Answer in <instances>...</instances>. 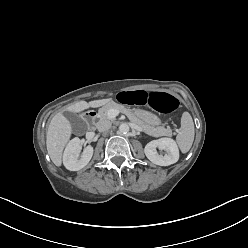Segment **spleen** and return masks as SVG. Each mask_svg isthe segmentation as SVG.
<instances>
[{
	"instance_id": "obj_1",
	"label": "spleen",
	"mask_w": 248,
	"mask_h": 248,
	"mask_svg": "<svg viewBox=\"0 0 248 248\" xmlns=\"http://www.w3.org/2000/svg\"><path fill=\"white\" fill-rule=\"evenodd\" d=\"M194 123L191 115L184 112L181 117V131L176 137V142L182 153L190 150L194 141Z\"/></svg>"
}]
</instances>
